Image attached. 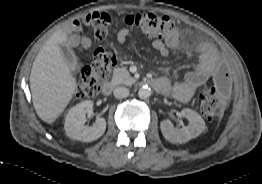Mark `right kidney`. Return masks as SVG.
I'll use <instances>...</instances> for the list:
<instances>
[{
  "label": "right kidney",
  "instance_id": "ca27d5eb",
  "mask_svg": "<svg viewBox=\"0 0 262 184\" xmlns=\"http://www.w3.org/2000/svg\"><path fill=\"white\" fill-rule=\"evenodd\" d=\"M92 108V101H84L70 109L64 123V129L69 138L91 142L104 134L106 130L104 118H97L92 126L85 125L86 114L91 112Z\"/></svg>",
  "mask_w": 262,
  "mask_h": 184
}]
</instances>
